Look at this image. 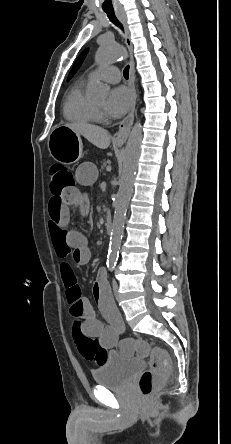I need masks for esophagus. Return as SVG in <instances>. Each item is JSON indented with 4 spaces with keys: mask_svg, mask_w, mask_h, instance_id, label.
I'll return each instance as SVG.
<instances>
[{
    "mask_svg": "<svg viewBox=\"0 0 231 444\" xmlns=\"http://www.w3.org/2000/svg\"><path fill=\"white\" fill-rule=\"evenodd\" d=\"M116 15L118 17V19L120 20L121 24L123 25L124 28V32H125V44L131 54V50H132V43L130 40V33H129V29H128V24H127V19H126V15L123 11H117ZM129 86L133 95V102H132V107H131V111L130 113L121 121L120 125H119V130L115 133L113 140L117 143H124L130 133L133 121H134V112H135V105H136V98H137V94H136V89H135V84H134V64L132 59L130 58V62H129Z\"/></svg>",
    "mask_w": 231,
    "mask_h": 444,
    "instance_id": "esophagus-1",
    "label": "esophagus"
}]
</instances>
